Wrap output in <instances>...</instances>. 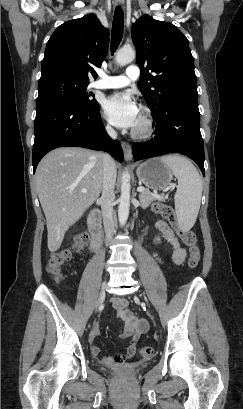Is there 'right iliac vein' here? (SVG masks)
Segmentation results:
<instances>
[{"mask_svg":"<svg viewBox=\"0 0 243 409\" xmlns=\"http://www.w3.org/2000/svg\"><path fill=\"white\" fill-rule=\"evenodd\" d=\"M105 288H106V282H104L103 285H102L101 291L99 293L98 301H97V304L95 306V311H97V308H98L101 300L105 297Z\"/></svg>","mask_w":243,"mask_h":409,"instance_id":"obj_1","label":"right iliac vein"}]
</instances>
